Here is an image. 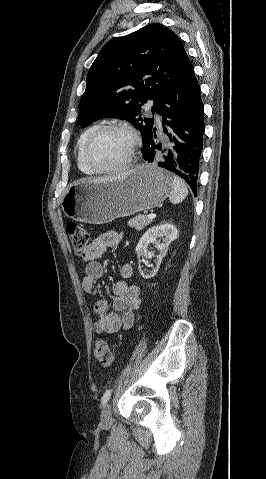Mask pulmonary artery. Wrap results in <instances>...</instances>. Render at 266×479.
I'll return each mask as SVG.
<instances>
[{"label": "pulmonary artery", "instance_id": "e3ab8cb5", "mask_svg": "<svg viewBox=\"0 0 266 479\" xmlns=\"http://www.w3.org/2000/svg\"><path fill=\"white\" fill-rule=\"evenodd\" d=\"M146 111L149 113L150 109H151V104L148 103L145 107Z\"/></svg>", "mask_w": 266, "mask_h": 479}]
</instances>
